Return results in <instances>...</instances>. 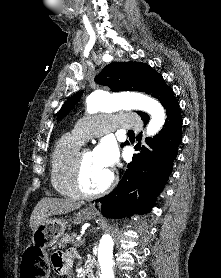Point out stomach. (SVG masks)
Wrapping results in <instances>:
<instances>
[{"mask_svg": "<svg viewBox=\"0 0 221 278\" xmlns=\"http://www.w3.org/2000/svg\"><path fill=\"white\" fill-rule=\"evenodd\" d=\"M96 210L86 208L75 214L74 222L95 219ZM68 221L48 218L32 234V242L22 254L19 275L21 278H51V265L46 261L45 249L54 245L64 235Z\"/></svg>", "mask_w": 221, "mask_h": 278, "instance_id": "1", "label": "stomach"}]
</instances>
